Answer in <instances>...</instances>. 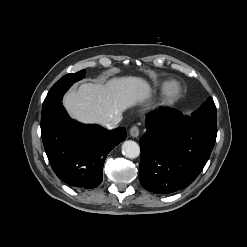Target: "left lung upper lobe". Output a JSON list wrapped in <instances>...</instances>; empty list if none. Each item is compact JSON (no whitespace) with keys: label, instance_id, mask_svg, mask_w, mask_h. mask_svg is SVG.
Listing matches in <instances>:
<instances>
[{"label":"left lung upper lobe","instance_id":"1","mask_svg":"<svg viewBox=\"0 0 247 247\" xmlns=\"http://www.w3.org/2000/svg\"><path fill=\"white\" fill-rule=\"evenodd\" d=\"M188 120L203 127L217 129V113L213 99L208 98V100L192 114V118H188Z\"/></svg>","mask_w":247,"mask_h":247}]
</instances>
